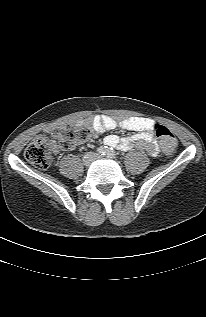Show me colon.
I'll list each match as a JSON object with an SVG mask.
<instances>
[{
  "mask_svg": "<svg viewBox=\"0 0 206 317\" xmlns=\"http://www.w3.org/2000/svg\"><path fill=\"white\" fill-rule=\"evenodd\" d=\"M153 130L164 152L172 153L177 145L172 131L162 124H154ZM90 133L87 127L67 124L54 129L51 136L58 141L62 149H71L77 143L87 140ZM52 143L47 135L37 137L25 149L26 160L39 169H48L51 165Z\"/></svg>",
  "mask_w": 206,
  "mask_h": 317,
  "instance_id": "obj_1",
  "label": "colon"
}]
</instances>
